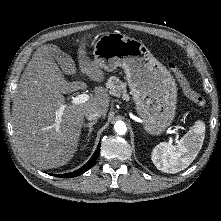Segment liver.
I'll return each mask as SVG.
<instances>
[{
    "mask_svg": "<svg viewBox=\"0 0 221 221\" xmlns=\"http://www.w3.org/2000/svg\"><path fill=\"white\" fill-rule=\"evenodd\" d=\"M78 48L80 72L95 82L104 81L102 67L86 56V39ZM76 73L70 55L55 44L40 46L27 64L13 96L12 126L19 151L36 167L51 169L66 165L77 151L84 115L95 109L105 117L110 96L102 88L82 104H66L58 90L62 72ZM65 105L61 119L59 108Z\"/></svg>",
    "mask_w": 221,
    "mask_h": 221,
    "instance_id": "liver-1",
    "label": "liver"
}]
</instances>
